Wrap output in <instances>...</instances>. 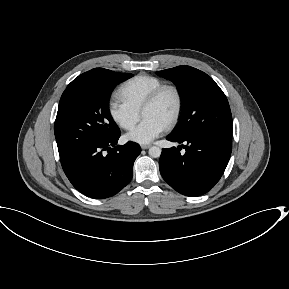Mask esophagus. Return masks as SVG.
<instances>
[{"label": "esophagus", "instance_id": "1", "mask_svg": "<svg viewBox=\"0 0 289 289\" xmlns=\"http://www.w3.org/2000/svg\"><path fill=\"white\" fill-rule=\"evenodd\" d=\"M151 147V145H149V144H145V145H141V148L142 149H148V148H150Z\"/></svg>", "mask_w": 289, "mask_h": 289}]
</instances>
